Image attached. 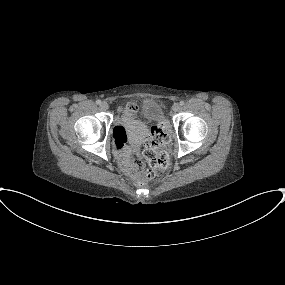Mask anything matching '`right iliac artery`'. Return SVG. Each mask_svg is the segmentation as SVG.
I'll return each mask as SVG.
<instances>
[{
	"label": "right iliac artery",
	"instance_id": "right-iliac-artery-1",
	"mask_svg": "<svg viewBox=\"0 0 285 285\" xmlns=\"http://www.w3.org/2000/svg\"><path fill=\"white\" fill-rule=\"evenodd\" d=\"M96 104L100 105V104H101V101H100V100H97V101H96Z\"/></svg>",
	"mask_w": 285,
	"mask_h": 285
}]
</instances>
